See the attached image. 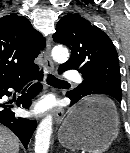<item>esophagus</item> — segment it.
I'll return each mask as SVG.
<instances>
[{
  "label": "esophagus",
  "mask_w": 130,
  "mask_h": 153,
  "mask_svg": "<svg viewBox=\"0 0 130 153\" xmlns=\"http://www.w3.org/2000/svg\"><path fill=\"white\" fill-rule=\"evenodd\" d=\"M51 45L50 42L47 44L45 53H44V70L46 73L53 72L54 71V64L51 59ZM64 116V109L61 107H56L54 109V119L55 122H60L63 119Z\"/></svg>",
  "instance_id": "esophagus-1"
}]
</instances>
